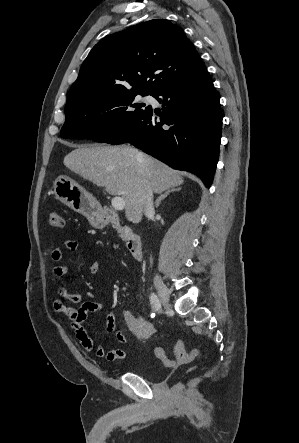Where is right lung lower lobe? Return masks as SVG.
I'll return each mask as SVG.
<instances>
[{"label":"right lung lower lobe","instance_id":"98d812e1","mask_svg":"<svg viewBox=\"0 0 299 443\" xmlns=\"http://www.w3.org/2000/svg\"><path fill=\"white\" fill-rule=\"evenodd\" d=\"M152 96L162 103V113L150 108L106 143L128 142L175 169L196 174L209 187L218 162L222 114L206 67Z\"/></svg>","mask_w":299,"mask_h":443}]
</instances>
